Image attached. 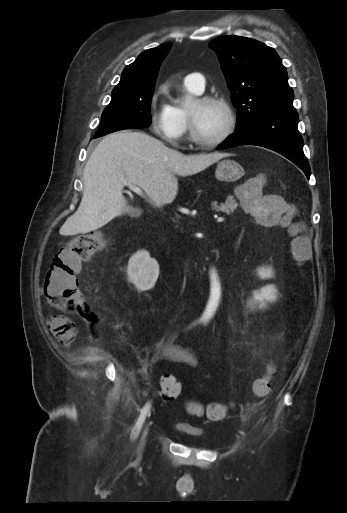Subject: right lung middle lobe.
<instances>
[{"instance_id": "dd1d6c3e", "label": "right lung middle lobe", "mask_w": 347, "mask_h": 513, "mask_svg": "<svg viewBox=\"0 0 347 513\" xmlns=\"http://www.w3.org/2000/svg\"><path fill=\"white\" fill-rule=\"evenodd\" d=\"M155 86L146 88H118L112 91V100L103 111L101 125L95 136L151 124L150 105Z\"/></svg>"}]
</instances>
